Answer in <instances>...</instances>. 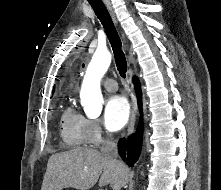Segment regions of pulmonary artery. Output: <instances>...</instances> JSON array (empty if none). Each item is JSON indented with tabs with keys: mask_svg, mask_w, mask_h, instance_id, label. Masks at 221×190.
<instances>
[{
	"mask_svg": "<svg viewBox=\"0 0 221 190\" xmlns=\"http://www.w3.org/2000/svg\"><path fill=\"white\" fill-rule=\"evenodd\" d=\"M104 87L106 90L110 92H115L118 89L117 82L114 79L107 78L103 82Z\"/></svg>",
	"mask_w": 221,
	"mask_h": 190,
	"instance_id": "obj_1",
	"label": "pulmonary artery"
}]
</instances>
